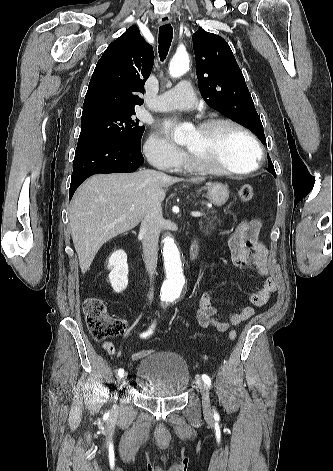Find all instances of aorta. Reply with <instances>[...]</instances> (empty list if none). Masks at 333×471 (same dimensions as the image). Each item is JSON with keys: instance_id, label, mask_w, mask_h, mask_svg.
<instances>
[{"instance_id": "762f6f07", "label": "aorta", "mask_w": 333, "mask_h": 471, "mask_svg": "<svg viewBox=\"0 0 333 471\" xmlns=\"http://www.w3.org/2000/svg\"><path fill=\"white\" fill-rule=\"evenodd\" d=\"M189 67V57L186 53L176 54L169 64V74L173 78L182 76ZM189 124H182L175 131V141L181 143L185 140ZM163 258L166 269V280L161 288V300L168 301L181 295L185 283L183 266L179 248L174 239L167 235L162 240Z\"/></svg>"}]
</instances>
